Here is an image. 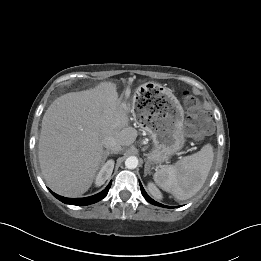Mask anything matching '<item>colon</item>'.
<instances>
[{
  "instance_id": "1",
  "label": "colon",
  "mask_w": 261,
  "mask_h": 261,
  "mask_svg": "<svg viewBox=\"0 0 261 261\" xmlns=\"http://www.w3.org/2000/svg\"><path fill=\"white\" fill-rule=\"evenodd\" d=\"M184 104L187 111L185 130L191 137H202L212 130V123L206 112L202 109L201 102L195 96L185 93Z\"/></svg>"
}]
</instances>
